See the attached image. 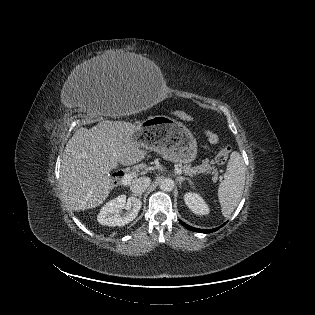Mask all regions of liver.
Here are the masks:
<instances>
[{
    "label": "liver",
    "instance_id": "1",
    "mask_svg": "<svg viewBox=\"0 0 315 315\" xmlns=\"http://www.w3.org/2000/svg\"><path fill=\"white\" fill-rule=\"evenodd\" d=\"M118 63L111 62L110 66L116 69ZM137 127L126 121L103 120L91 129L75 131L66 144L60 168L61 190L70 209L98 207L110 194L109 172L118 163L128 166L145 158V148L133 138Z\"/></svg>",
    "mask_w": 315,
    "mask_h": 315
}]
</instances>
